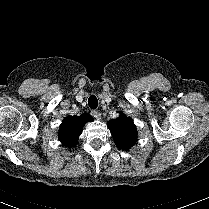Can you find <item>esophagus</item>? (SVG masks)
I'll list each match as a JSON object with an SVG mask.
<instances>
[{"instance_id":"esophagus-1","label":"esophagus","mask_w":209,"mask_h":209,"mask_svg":"<svg viewBox=\"0 0 209 209\" xmlns=\"http://www.w3.org/2000/svg\"><path fill=\"white\" fill-rule=\"evenodd\" d=\"M91 113L97 120L101 119V113L98 110H93Z\"/></svg>"}]
</instances>
